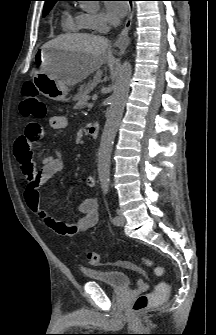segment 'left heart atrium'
Returning a JSON list of instances; mask_svg holds the SVG:
<instances>
[{
    "instance_id": "left-heart-atrium-1",
    "label": "left heart atrium",
    "mask_w": 216,
    "mask_h": 335,
    "mask_svg": "<svg viewBox=\"0 0 216 335\" xmlns=\"http://www.w3.org/2000/svg\"><path fill=\"white\" fill-rule=\"evenodd\" d=\"M106 9L110 20L114 23L128 13V5L123 1H110L106 4Z\"/></svg>"
}]
</instances>
